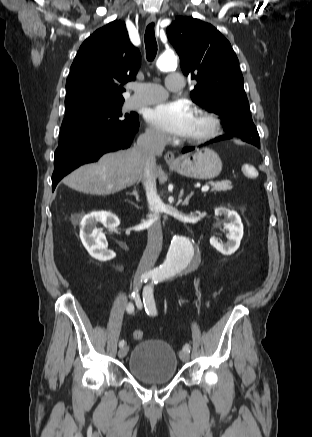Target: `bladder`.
Segmentation results:
<instances>
[{
    "label": "bladder",
    "instance_id": "bladder-1",
    "mask_svg": "<svg viewBox=\"0 0 312 437\" xmlns=\"http://www.w3.org/2000/svg\"><path fill=\"white\" fill-rule=\"evenodd\" d=\"M177 356L166 341L150 339L139 342L132 350L128 368L137 380L147 384H165L177 374Z\"/></svg>",
    "mask_w": 312,
    "mask_h": 437
}]
</instances>
